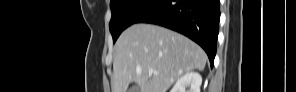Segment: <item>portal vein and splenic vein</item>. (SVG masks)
<instances>
[{
  "label": "portal vein and splenic vein",
  "instance_id": "obj_1",
  "mask_svg": "<svg viewBox=\"0 0 296 92\" xmlns=\"http://www.w3.org/2000/svg\"><path fill=\"white\" fill-rule=\"evenodd\" d=\"M148 72H149L150 74H156V75L158 74V72L155 71L154 69H149Z\"/></svg>",
  "mask_w": 296,
  "mask_h": 92
}]
</instances>
